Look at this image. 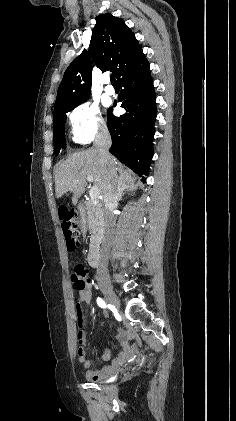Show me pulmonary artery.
Wrapping results in <instances>:
<instances>
[{
	"instance_id": "1",
	"label": "pulmonary artery",
	"mask_w": 236,
	"mask_h": 421,
	"mask_svg": "<svg viewBox=\"0 0 236 421\" xmlns=\"http://www.w3.org/2000/svg\"><path fill=\"white\" fill-rule=\"evenodd\" d=\"M104 91H105V93H106V94H108V95H114V94H115V89H114V87H113V86H111V85H109V84H107V85L104 87Z\"/></svg>"
}]
</instances>
